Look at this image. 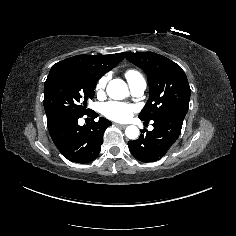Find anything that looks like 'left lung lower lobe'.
<instances>
[{
	"label": "left lung lower lobe",
	"mask_w": 236,
	"mask_h": 236,
	"mask_svg": "<svg viewBox=\"0 0 236 236\" xmlns=\"http://www.w3.org/2000/svg\"><path fill=\"white\" fill-rule=\"evenodd\" d=\"M185 113L168 112L153 120L152 131L144 132L137 140L129 141L128 146L132 155L142 162H154L161 159L178 139ZM148 123L149 120H144Z\"/></svg>",
	"instance_id": "obj_1"
}]
</instances>
